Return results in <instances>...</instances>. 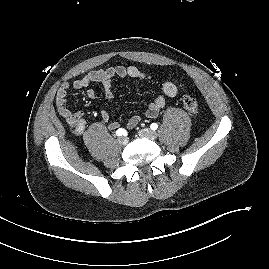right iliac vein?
<instances>
[{
	"instance_id": "1",
	"label": "right iliac vein",
	"mask_w": 269,
	"mask_h": 269,
	"mask_svg": "<svg viewBox=\"0 0 269 269\" xmlns=\"http://www.w3.org/2000/svg\"><path fill=\"white\" fill-rule=\"evenodd\" d=\"M117 141L121 145H126L128 143V139L126 137H120Z\"/></svg>"
}]
</instances>
